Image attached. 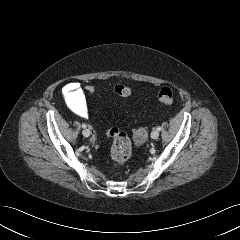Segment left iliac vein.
<instances>
[{
  "instance_id": "1",
  "label": "left iliac vein",
  "mask_w": 240,
  "mask_h": 240,
  "mask_svg": "<svg viewBox=\"0 0 240 240\" xmlns=\"http://www.w3.org/2000/svg\"><path fill=\"white\" fill-rule=\"evenodd\" d=\"M159 137V131L153 130L151 133V138L152 139H157Z\"/></svg>"
}]
</instances>
